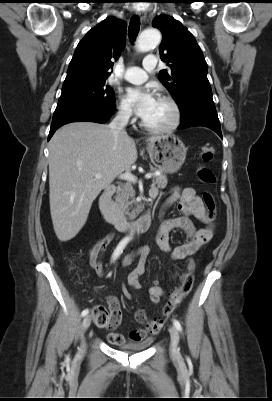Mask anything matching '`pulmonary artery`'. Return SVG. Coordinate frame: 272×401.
<instances>
[{
	"label": "pulmonary artery",
	"mask_w": 272,
	"mask_h": 401,
	"mask_svg": "<svg viewBox=\"0 0 272 401\" xmlns=\"http://www.w3.org/2000/svg\"><path fill=\"white\" fill-rule=\"evenodd\" d=\"M157 61L153 56L147 57L143 61V68L130 67L123 73V78L133 84H140L146 81L148 73L156 68Z\"/></svg>",
	"instance_id": "pulmonary-artery-1"
}]
</instances>
